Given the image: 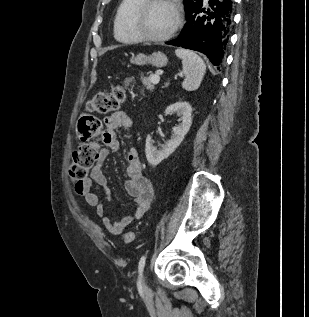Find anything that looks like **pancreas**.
Wrapping results in <instances>:
<instances>
[{"mask_svg": "<svg viewBox=\"0 0 309 317\" xmlns=\"http://www.w3.org/2000/svg\"><path fill=\"white\" fill-rule=\"evenodd\" d=\"M152 75L145 77V76H141V81L142 83L147 87V89L149 90H153L154 89V83L151 80Z\"/></svg>", "mask_w": 309, "mask_h": 317, "instance_id": "obj_1", "label": "pancreas"}]
</instances>
